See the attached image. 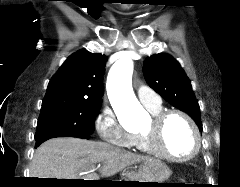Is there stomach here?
<instances>
[{
	"label": "stomach",
	"mask_w": 240,
	"mask_h": 187,
	"mask_svg": "<svg viewBox=\"0 0 240 187\" xmlns=\"http://www.w3.org/2000/svg\"><path fill=\"white\" fill-rule=\"evenodd\" d=\"M171 174L168 166L157 159H151L145 161L141 166L139 173L134 174L137 176L136 179H141L143 181L139 182H156V183H144L147 186H157V183H164L165 180L169 178Z\"/></svg>",
	"instance_id": "0dacf381"
}]
</instances>
